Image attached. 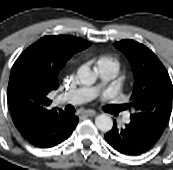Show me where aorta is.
<instances>
[{"label":"aorta","mask_w":173,"mask_h":170,"mask_svg":"<svg viewBox=\"0 0 173 170\" xmlns=\"http://www.w3.org/2000/svg\"><path fill=\"white\" fill-rule=\"evenodd\" d=\"M78 79L84 85H92L96 81V75L88 67H81L77 72ZM96 127L102 132H108L113 127V120L108 114H101L95 119Z\"/></svg>","instance_id":"1"}]
</instances>
